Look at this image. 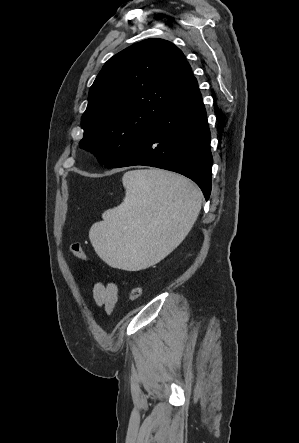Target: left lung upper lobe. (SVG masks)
I'll use <instances>...</instances> for the list:
<instances>
[{
	"instance_id": "1",
	"label": "left lung upper lobe",
	"mask_w": 299,
	"mask_h": 443,
	"mask_svg": "<svg viewBox=\"0 0 299 443\" xmlns=\"http://www.w3.org/2000/svg\"><path fill=\"white\" fill-rule=\"evenodd\" d=\"M193 77L167 40L146 39L114 55L90 88L80 146L112 168Z\"/></svg>"
}]
</instances>
